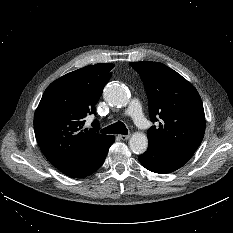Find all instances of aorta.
<instances>
[{
	"label": "aorta",
	"mask_w": 233,
	"mask_h": 233,
	"mask_svg": "<svg viewBox=\"0 0 233 233\" xmlns=\"http://www.w3.org/2000/svg\"><path fill=\"white\" fill-rule=\"evenodd\" d=\"M103 97L107 103L116 107H124L129 102L125 87L113 82L105 86ZM129 146L133 153L142 154L147 150L148 138L144 133L136 132L129 139Z\"/></svg>",
	"instance_id": "1"
}]
</instances>
